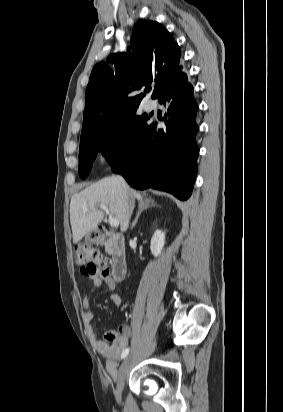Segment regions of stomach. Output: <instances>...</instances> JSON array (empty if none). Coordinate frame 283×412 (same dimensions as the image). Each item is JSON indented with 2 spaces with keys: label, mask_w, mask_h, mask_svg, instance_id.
I'll use <instances>...</instances> for the list:
<instances>
[{
  "label": "stomach",
  "mask_w": 283,
  "mask_h": 412,
  "mask_svg": "<svg viewBox=\"0 0 283 412\" xmlns=\"http://www.w3.org/2000/svg\"><path fill=\"white\" fill-rule=\"evenodd\" d=\"M86 241L90 242V243H94L96 242V238L92 236L91 233L86 234Z\"/></svg>",
  "instance_id": "0dacf381"
}]
</instances>
